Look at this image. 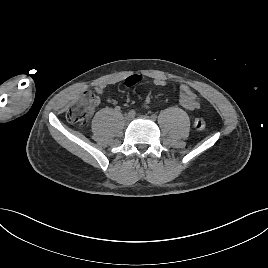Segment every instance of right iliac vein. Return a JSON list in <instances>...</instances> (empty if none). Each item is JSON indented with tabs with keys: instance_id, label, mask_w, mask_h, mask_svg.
Masks as SVG:
<instances>
[{
	"instance_id": "63e3f726",
	"label": "right iliac vein",
	"mask_w": 268,
	"mask_h": 268,
	"mask_svg": "<svg viewBox=\"0 0 268 268\" xmlns=\"http://www.w3.org/2000/svg\"><path fill=\"white\" fill-rule=\"evenodd\" d=\"M134 117L133 116H130V115H126L125 116V120L127 121V122H129L130 120H132Z\"/></svg>"
}]
</instances>
